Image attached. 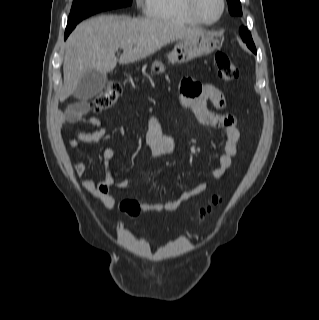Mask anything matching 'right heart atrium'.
<instances>
[{
    "instance_id": "right-heart-atrium-1",
    "label": "right heart atrium",
    "mask_w": 319,
    "mask_h": 320,
    "mask_svg": "<svg viewBox=\"0 0 319 320\" xmlns=\"http://www.w3.org/2000/svg\"><path fill=\"white\" fill-rule=\"evenodd\" d=\"M146 3V0H136V4L138 7L144 6Z\"/></svg>"
}]
</instances>
